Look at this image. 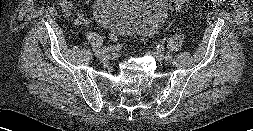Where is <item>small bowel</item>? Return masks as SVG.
Masks as SVG:
<instances>
[{
  "label": "small bowel",
  "mask_w": 253,
  "mask_h": 131,
  "mask_svg": "<svg viewBox=\"0 0 253 131\" xmlns=\"http://www.w3.org/2000/svg\"><path fill=\"white\" fill-rule=\"evenodd\" d=\"M86 1L89 2V0ZM58 5L65 17L73 20L75 23L80 25L89 24V20L75 8L71 0H60Z\"/></svg>",
  "instance_id": "small-bowel-1"
}]
</instances>
